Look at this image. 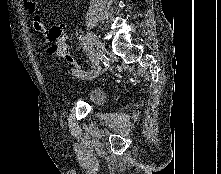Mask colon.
I'll return each mask as SVG.
<instances>
[{
  "label": "colon",
  "mask_w": 221,
  "mask_h": 174,
  "mask_svg": "<svg viewBox=\"0 0 221 174\" xmlns=\"http://www.w3.org/2000/svg\"><path fill=\"white\" fill-rule=\"evenodd\" d=\"M43 33L45 34L46 39L55 43L52 47V51L55 54L61 56L68 63L77 67L79 66L77 60L71 54V50L66 42V39L58 29L53 27L50 29H44Z\"/></svg>",
  "instance_id": "colon-1"
}]
</instances>
